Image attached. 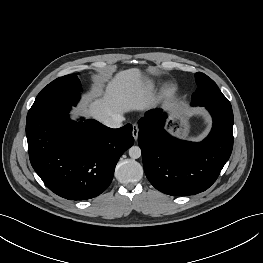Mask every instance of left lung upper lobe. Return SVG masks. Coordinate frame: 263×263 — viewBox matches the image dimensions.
<instances>
[{"mask_svg": "<svg viewBox=\"0 0 263 263\" xmlns=\"http://www.w3.org/2000/svg\"><path fill=\"white\" fill-rule=\"evenodd\" d=\"M195 77L198 89L192 95L191 105L231 106L230 102L211 78L201 72L196 73Z\"/></svg>", "mask_w": 263, "mask_h": 263, "instance_id": "5c2ea615", "label": "left lung upper lobe"}]
</instances>
